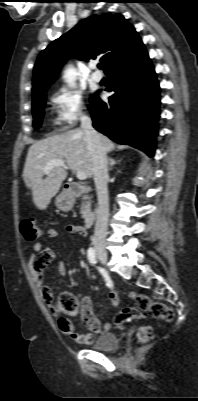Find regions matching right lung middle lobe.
<instances>
[{
    "label": "right lung middle lobe",
    "instance_id": "dd1d6c3e",
    "mask_svg": "<svg viewBox=\"0 0 198 401\" xmlns=\"http://www.w3.org/2000/svg\"><path fill=\"white\" fill-rule=\"evenodd\" d=\"M46 92H42L35 97H33L32 103V111H33V127L38 129L42 123V117L44 115V106H45V99H46ZM96 95L91 96V102L94 100Z\"/></svg>",
    "mask_w": 198,
    "mask_h": 401
}]
</instances>
